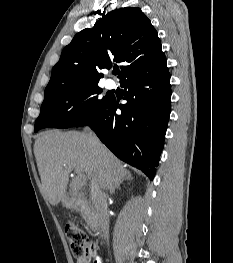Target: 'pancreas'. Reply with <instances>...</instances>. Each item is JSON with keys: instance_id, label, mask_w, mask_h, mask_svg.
Wrapping results in <instances>:
<instances>
[{"instance_id": "pancreas-1", "label": "pancreas", "mask_w": 233, "mask_h": 263, "mask_svg": "<svg viewBox=\"0 0 233 263\" xmlns=\"http://www.w3.org/2000/svg\"><path fill=\"white\" fill-rule=\"evenodd\" d=\"M80 212H81V214L83 215V217L85 218L86 222H87L88 224H91V223H92V220L87 217L86 212H85V211H82V210H81Z\"/></svg>"}]
</instances>
